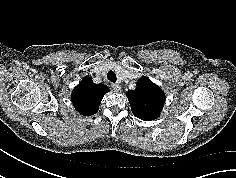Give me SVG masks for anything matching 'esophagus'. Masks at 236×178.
I'll return each mask as SVG.
<instances>
[{"label": "esophagus", "mask_w": 236, "mask_h": 178, "mask_svg": "<svg viewBox=\"0 0 236 178\" xmlns=\"http://www.w3.org/2000/svg\"><path fill=\"white\" fill-rule=\"evenodd\" d=\"M114 91H120V86L118 84H112L111 85Z\"/></svg>", "instance_id": "esophagus-1"}]
</instances>
